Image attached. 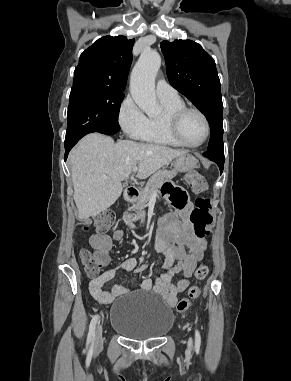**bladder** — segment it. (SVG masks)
Returning <instances> with one entry per match:
<instances>
[{
  "mask_svg": "<svg viewBox=\"0 0 291 381\" xmlns=\"http://www.w3.org/2000/svg\"><path fill=\"white\" fill-rule=\"evenodd\" d=\"M173 310L158 297L132 293L117 299L110 308V326L123 336L147 340L165 336L173 327Z\"/></svg>",
  "mask_w": 291,
  "mask_h": 381,
  "instance_id": "1",
  "label": "bladder"
}]
</instances>
